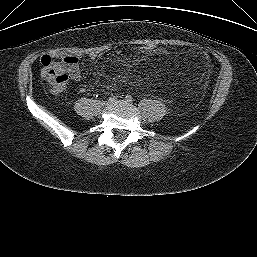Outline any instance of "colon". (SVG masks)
Masks as SVG:
<instances>
[{"mask_svg":"<svg viewBox=\"0 0 257 257\" xmlns=\"http://www.w3.org/2000/svg\"><path fill=\"white\" fill-rule=\"evenodd\" d=\"M142 49L146 53H153L158 50V47L154 44H145ZM41 63L42 75L50 83L54 91L61 92L68 80L67 73L53 62L50 56H43Z\"/></svg>","mask_w":257,"mask_h":257,"instance_id":"colon-1","label":"colon"}]
</instances>
